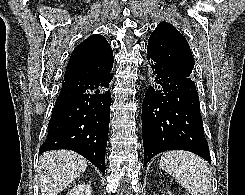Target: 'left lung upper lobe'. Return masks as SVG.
Segmentation results:
<instances>
[{"instance_id": "obj_1", "label": "left lung upper lobe", "mask_w": 245, "mask_h": 195, "mask_svg": "<svg viewBox=\"0 0 245 195\" xmlns=\"http://www.w3.org/2000/svg\"><path fill=\"white\" fill-rule=\"evenodd\" d=\"M147 59L176 77L191 78L194 58L185 37L172 25L161 22L152 32Z\"/></svg>"}]
</instances>
